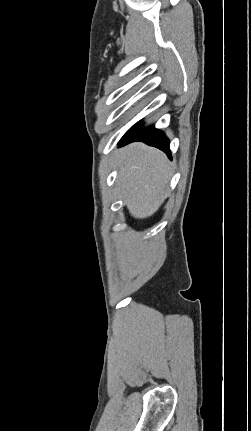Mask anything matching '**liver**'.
Wrapping results in <instances>:
<instances>
[{
  "instance_id": "1",
  "label": "liver",
  "mask_w": 251,
  "mask_h": 431,
  "mask_svg": "<svg viewBox=\"0 0 251 431\" xmlns=\"http://www.w3.org/2000/svg\"><path fill=\"white\" fill-rule=\"evenodd\" d=\"M117 185L134 218L152 216L164 202L171 176L165 154L143 143H132L115 153Z\"/></svg>"
}]
</instances>
